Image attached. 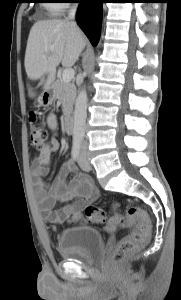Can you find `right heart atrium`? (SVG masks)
Returning <instances> with one entry per match:
<instances>
[{"label": "right heart atrium", "instance_id": "obj_1", "mask_svg": "<svg viewBox=\"0 0 181 300\" xmlns=\"http://www.w3.org/2000/svg\"><path fill=\"white\" fill-rule=\"evenodd\" d=\"M58 2H61V3H57V4H59L60 5V7H61V9H62V11L66 8V6H67V4H66V2H69V1H71V0H57Z\"/></svg>", "mask_w": 181, "mask_h": 300}]
</instances>
